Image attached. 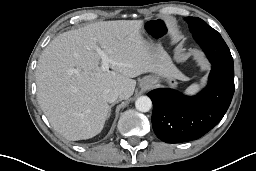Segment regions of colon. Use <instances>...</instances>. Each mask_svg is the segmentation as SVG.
Wrapping results in <instances>:
<instances>
[{
    "mask_svg": "<svg viewBox=\"0 0 256 171\" xmlns=\"http://www.w3.org/2000/svg\"><path fill=\"white\" fill-rule=\"evenodd\" d=\"M149 30L151 32L152 35L154 36H160L161 34L164 33L165 28L163 25L161 24H151L149 26Z\"/></svg>",
    "mask_w": 256,
    "mask_h": 171,
    "instance_id": "colon-1",
    "label": "colon"
}]
</instances>
